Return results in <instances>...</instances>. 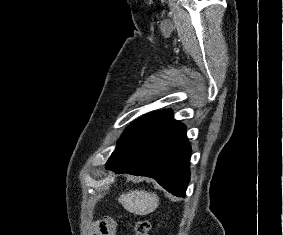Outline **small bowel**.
<instances>
[{"mask_svg":"<svg viewBox=\"0 0 283 235\" xmlns=\"http://www.w3.org/2000/svg\"><path fill=\"white\" fill-rule=\"evenodd\" d=\"M96 229L99 235H115L116 224L110 218H102L96 223Z\"/></svg>","mask_w":283,"mask_h":235,"instance_id":"small-bowel-1","label":"small bowel"}]
</instances>
